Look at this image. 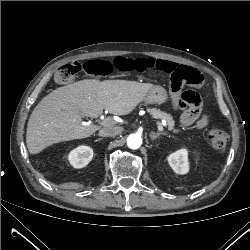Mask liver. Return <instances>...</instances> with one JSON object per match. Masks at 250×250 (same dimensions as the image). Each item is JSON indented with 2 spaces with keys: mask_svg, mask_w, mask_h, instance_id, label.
I'll list each match as a JSON object with an SVG mask.
<instances>
[{
  "mask_svg": "<svg viewBox=\"0 0 250 250\" xmlns=\"http://www.w3.org/2000/svg\"><path fill=\"white\" fill-rule=\"evenodd\" d=\"M153 87L136 81L85 79L53 90L37 104L28 120L29 152L37 154L52 144L91 136L100 127L83 124L82 117L97 118L104 109L127 115Z\"/></svg>",
  "mask_w": 250,
  "mask_h": 250,
  "instance_id": "6515ba94",
  "label": "liver"
}]
</instances>
